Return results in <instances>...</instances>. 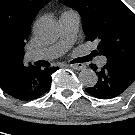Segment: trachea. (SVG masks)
Listing matches in <instances>:
<instances>
[{
    "label": "trachea",
    "mask_w": 135,
    "mask_h": 135,
    "mask_svg": "<svg viewBox=\"0 0 135 135\" xmlns=\"http://www.w3.org/2000/svg\"><path fill=\"white\" fill-rule=\"evenodd\" d=\"M96 55L95 52H92L90 55L82 57V58H78L72 61V63H80V62H88L90 61L94 56Z\"/></svg>",
    "instance_id": "3493384b"
}]
</instances>
